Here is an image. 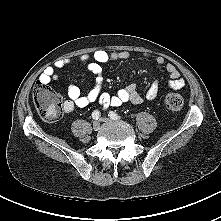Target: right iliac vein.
<instances>
[{
    "label": "right iliac vein",
    "mask_w": 221,
    "mask_h": 221,
    "mask_svg": "<svg viewBox=\"0 0 221 221\" xmlns=\"http://www.w3.org/2000/svg\"><path fill=\"white\" fill-rule=\"evenodd\" d=\"M100 125H101L100 121H94L93 122V129L96 130V131L99 130L100 129Z\"/></svg>",
    "instance_id": "right-iliac-vein-1"
}]
</instances>
